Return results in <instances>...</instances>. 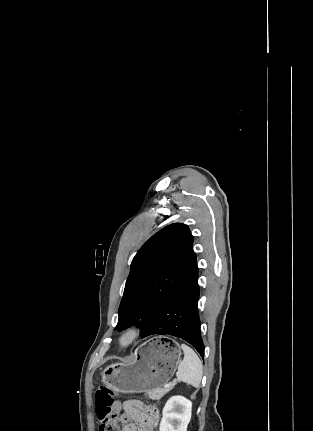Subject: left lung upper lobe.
Here are the masks:
<instances>
[{"label": "left lung upper lobe", "mask_w": 313, "mask_h": 431, "mask_svg": "<svg viewBox=\"0 0 313 431\" xmlns=\"http://www.w3.org/2000/svg\"><path fill=\"white\" fill-rule=\"evenodd\" d=\"M193 236L187 225L174 223L154 234L131 263L116 329L132 325L141 335L162 307L198 273Z\"/></svg>", "instance_id": "left-lung-upper-lobe-1"}]
</instances>
